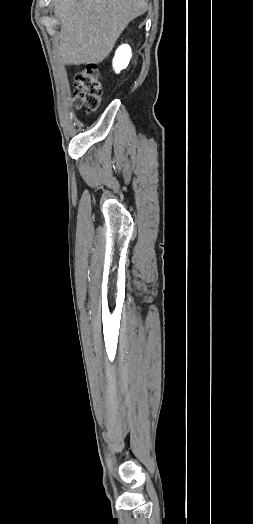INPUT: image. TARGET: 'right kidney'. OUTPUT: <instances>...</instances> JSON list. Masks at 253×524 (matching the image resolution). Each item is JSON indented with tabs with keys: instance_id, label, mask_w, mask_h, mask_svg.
Listing matches in <instances>:
<instances>
[{
	"instance_id": "obj_1",
	"label": "right kidney",
	"mask_w": 253,
	"mask_h": 524,
	"mask_svg": "<svg viewBox=\"0 0 253 524\" xmlns=\"http://www.w3.org/2000/svg\"><path fill=\"white\" fill-rule=\"evenodd\" d=\"M131 56L132 53L129 45L124 44L117 49L113 59V68L117 73L128 66Z\"/></svg>"
}]
</instances>
